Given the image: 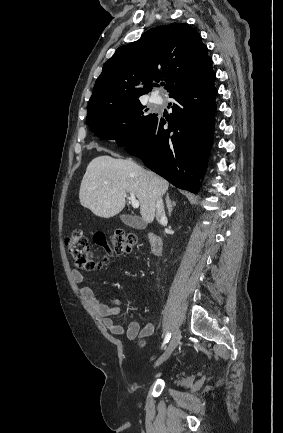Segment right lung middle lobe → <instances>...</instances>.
I'll return each mask as SVG.
<instances>
[{"instance_id":"right-lung-middle-lobe-1","label":"right lung middle lobe","mask_w":283,"mask_h":433,"mask_svg":"<svg viewBox=\"0 0 283 433\" xmlns=\"http://www.w3.org/2000/svg\"><path fill=\"white\" fill-rule=\"evenodd\" d=\"M147 111L140 101H134L89 114L87 124L96 136L114 139L127 148L144 135L156 117Z\"/></svg>"}]
</instances>
